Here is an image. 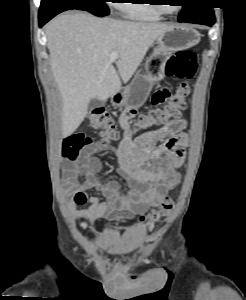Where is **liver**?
<instances>
[{
	"instance_id": "6515ba94",
	"label": "liver",
	"mask_w": 246,
	"mask_h": 300,
	"mask_svg": "<svg viewBox=\"0 0 246 300\" xmlns=\"http://www.w3.org/2000/svg\"><path fill=\"white\" fill-rule=\"evenodd\" d=\"M171 25L97 18L83 12L57 16L45 29L50 67L62 96V137L84 120L91 99L107 100L127 83L149 47ZM118 52L116 67L110 54Z\"/></svg>"
}]
</instances>
